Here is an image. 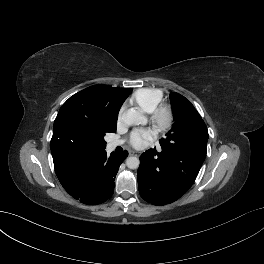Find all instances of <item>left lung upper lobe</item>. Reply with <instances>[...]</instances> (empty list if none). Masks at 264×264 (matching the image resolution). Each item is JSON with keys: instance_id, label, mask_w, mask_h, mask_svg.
<instances>
[{"instance_id": "5c2ea615", "label": "left lung upper lobe", "mask_w": 264, "mask_h": 264, "mask_svg": "<svg viewBox=\"0 0 264 264\" xmlns=\"http://www.w3.org/2000/svg\"><path fill=\"white\" fill-rule=\"evenodd\" d=\"M170 100L175 123L166 134L167 137L160 140L162 150L186 148L198 143L207 144L206 124L192 103L178 93H171Z\"/></svg>"}]
</instances>
